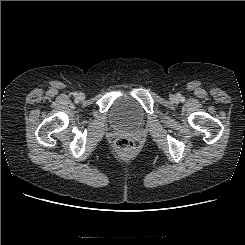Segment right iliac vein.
<instances>
[{"mask_svg":"<svg viewBox=\"0 0 245 245\" xmlns=\"http://www.w3.org/2000/svg\"><path fill=\"white\" fill-rule=\"evenodd\" d=\"M78 98H79V99H83V98H84V94H83V93H79V94H78Z\"/></svg>","mask_w":245,"mask_h":245,"instance_id":"63e3f726","label":"right iliac vein"}]
</instances>
